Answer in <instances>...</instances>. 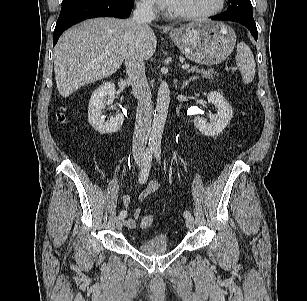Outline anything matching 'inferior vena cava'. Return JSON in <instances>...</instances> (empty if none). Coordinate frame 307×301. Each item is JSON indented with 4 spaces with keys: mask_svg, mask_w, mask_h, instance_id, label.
I'll return each instance as SVG.
<instances>
[{
    "mask_svg": "<svg viewBox=\"0 0 307 301\" xmlns=\"http://www.w3.org/2000/svg\"><path fill=\"white\" fill-rule=\"evenodd\" d=\"M155 19L152 4L137 3L132 21L135 25V37L125 52V66L133 95L138 99L136 122L133 134L132 152L135 157L143 155L151 130L152 95L145 75L143 58V38L148 24Z\"/></svg>",
    "mask_w": 307,
    "mask_h": 301,
    "instance_id": "obj_1",
    "label": "inferior vena cava"
}]
</instances>
